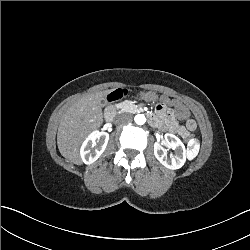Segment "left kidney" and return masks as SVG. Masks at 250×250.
<instances>
[{
	"instance_id": "obj_1",
	"label": "left kidney",
	"mask_w": 250,
	"mask_h": 250,
	"mask_svg": "<svg viewBox=\"0 0 250 250\" xmlns=\"http://www.w3.org/2000/svg\"><path fill=\"white\" fill-rule=\"evenodd\" d=\"M168 146L176 151L175 157H168L166 150L158 143L154 146V154L156 158L169 169H180L186 162V149L179 137L172 133L164 135Z\"/></svg>"
}]
</instances>
